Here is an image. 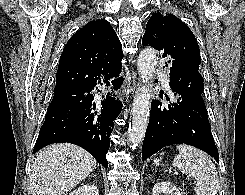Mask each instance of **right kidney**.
<instances>
[{
  "label": "right kidney",
  "mask_w": 245,
  "mask_h": 195,
  "mask_svg": "<svg viewBox=\"0 0 245 195\" xmlns=\"http://www.w3.org/2000/svg\"><path fill=\"white\" fill-rule=\"evenodd\" d=\"M69 195H99V193L96 185L85 184L71 192Z\"/></svg>",
  "instance_id": "right-kidney-1"
}]
</instances>
